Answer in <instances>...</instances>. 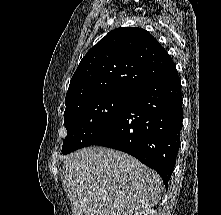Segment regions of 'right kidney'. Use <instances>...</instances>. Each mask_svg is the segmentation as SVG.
Returning <instances> with one entry per match:
<instances>
[{
  "label": "right kidney",
  "mask_w": 221,
  "mask_h": 215,
  "mask_svg": "<svg viewBox=\"0 0 221 215\" xmlns=\"http://www.w3.org/2000/svg\"><path fill=\"white\" fill-rule=\"evenodd\" d=\"M134 215H157L156 210L148 208L142 211L135 213Z\"/></svg>",
  "instance_id": "right-kidney-1"
}]
</instances>
